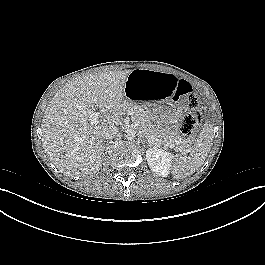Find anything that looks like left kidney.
Returning a JSON list of instances; mask_svg holds the SVG:
<instances>
[{"label":"left kidney","instance_id":"left-kidney-1","mask_svg":"<svg viewBox=\"0 0 265 265\" xmlns=\"http://www.w3.org/2000/svg\"><path fill=\"white\" fill-rule=\"evenodd\" d=\"M146 159L153 172L162 177L168 176L172 166V156L170 153L153 147L146 151Z\"/></svg>","mask_w":265,"mask_h":265}]
</instances>
